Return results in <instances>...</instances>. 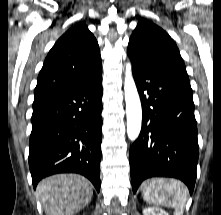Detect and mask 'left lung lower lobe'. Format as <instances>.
Masks as SVG:
<instances>
[{
    "label": "left lung lower lobe",
    "instance_id": "1",
    "mask_svg": "<svg viewBox=\"0 0 221 215\" xmlns=\"http://www.w3.org/2000/svg\"><path fill=\"white\" fill-rule=\"evenodd\" d=\"M132 72L143 109L141 132L129 153L133 192L147 178L174 177L192 194L199 147L189 78L134 61Z\"/></svg>",
    "mask_w": 221,
    "mask_h": 215
}]
</instances>
